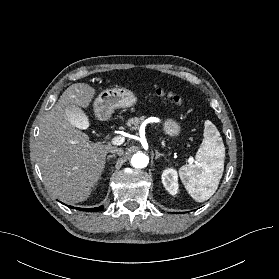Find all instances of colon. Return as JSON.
Listing matches in <instances>:
<instances>
[{
  "instance_id": "obj_1",
  "label": "colon",
  "mask_w": 279,
  "mask_h": 279,
  "mask_svg": "<svg viewBox=\"0 0 279 279\" xmlns=\"http://www.w3.org/2000/svg\"><path fill=\"white\" fill-rule=\"evenodd\" d=\"M156 95L161 98H167L172 101L178 107L183 106V100L179 95H176L172 92H166L165 90L159 88L156 90Z\"/></svg>"
}]
</instances>
